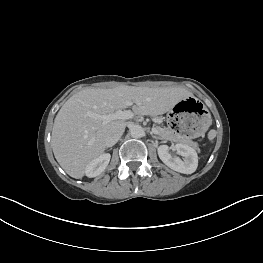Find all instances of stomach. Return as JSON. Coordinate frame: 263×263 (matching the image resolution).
Segmentation results:
<instances>
[{"label": "stomach", "instance_id": "1", "mask_svg": "<svg viewBox=\"0 0 263 263\" xmlns=\"http://www.w3.org/2000/svg\"><path fill=\"white\" fill-rule=\"evenodd\" d=\"M168 117L174 131L182 138L196 140L204 137L211 129L213 116L210 108L194 97H187L176 103Z\"/></svg>", "mask_w": 263, "mask_h": 263}]
</instances>
